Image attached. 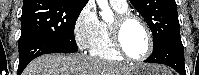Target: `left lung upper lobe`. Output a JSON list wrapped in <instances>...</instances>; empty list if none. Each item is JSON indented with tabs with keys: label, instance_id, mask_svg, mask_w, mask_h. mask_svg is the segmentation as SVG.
<instances>
[{
	"label": "left lung upper lobe",
	"instance_id": "5c2ea615",
	"mask_svg": "<svg viewBox=\"0 0 199 75\" xmlns=\"http://www.w3.org/2000/svg\"><path fill=\"white\" fill-rule=\"evenodd\" d=\"M142 15L153 35V50L169 38L180 34L175 0H130Z\"/></svg>",
	"mask_w": 199,
	"mask_h": 75
}]
</instances>
